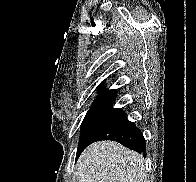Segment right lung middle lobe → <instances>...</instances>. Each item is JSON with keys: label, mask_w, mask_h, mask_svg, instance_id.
Listing matches in <instances>:
<instances>
[{"label": "right lung middle lobe", "mask_w": 196, "mask_h": 182, "mask_svg": "<svg viewBox=\"0 0 196 182\" xmlns=\"http://www.w3.org/2000/svg\"><path fill=\"white\" fill-rule=\"evenodd\" d=\"M124 117L125 113L120 108L114 109L111 104L92 105L81 124V137L77 154L91 144L102 131Z\"/></svg>", "instance_id": "dd1d6c3e"}]
</instances>
